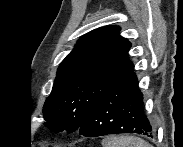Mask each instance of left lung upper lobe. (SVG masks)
Instances as JSON below:
<instances>
[{
    "instance_id": "5c2ea615",
    "label": "left lung upper lobe",
    "mask_w": 183,
    "mask_h": 147,
    "mask_svg": "<svg viewBox=\"0 0 183 147\" xmlns=\"http://www.w3.org/2000/svg\"><path fill=\"white\" fill-rule=\"evenodd\" d=\"M130 47L117 26L81 37L57 70L43 107L45 125L56 132L78 130L100 97L134 68L128 59Z\"/></svg>"
}]
</instances>
